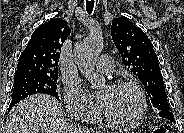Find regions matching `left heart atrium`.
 <instances>
[{"instance_id":"39dd6f15","label":"left heart atrium","mask_w":184,"mask_h":133,"mask_svg":"<svg viewBox=\"0 0 184 133\" xmlns=\"http://www.w3.org/2000/svg\"><path fill=\"white\" fill-rule=\"evenodd\" d=\"M103 99H104V96L103 95H99L98 96V102H99V105L101 106L102 103H103Z\"/></svg>"}]
</instances>
